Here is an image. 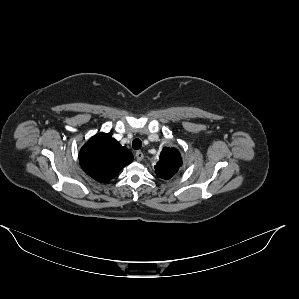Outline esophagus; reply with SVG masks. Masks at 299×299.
I'll return each mask as SVG.
<instances>
[{
    "label": "esophagus",
    "instance_id": "1",
    "mask_svg": "<svg viewBox=\"0 0 299 299\" xmlns=\"http://www.w3.org/2000/svg\"><path fill=\"white\" fill-rule=\"evenodd\" d=\"M135 156L137 161H141L144 158V154L141 151H137Z\"/></svg>",
    "mask_w": 299,
    "mask_h": 299
}]
</instances>
